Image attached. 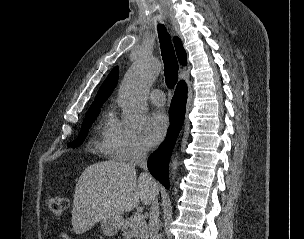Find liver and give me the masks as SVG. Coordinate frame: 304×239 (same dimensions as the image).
<instances>
[{
  "mask_svg": "<svg viewBox=\"0 0 304 239\" xmlns=\"http://www.w3.org/2000/svg\"><path fill=\"white\" fill-rule=\"evenodd\" d=\"M155 182V181H154ZM157 183L149 185L130 164L108 160L88 166L74 193L72 226L82 234L105 218L120 217L141 201L150 204L158 194Z\"/></svg>",
  "mask_w": 304,
  "mask_h": 239,
  "instance_id": "1",
  "label": "liver"
}]
</instances>
